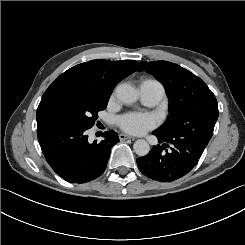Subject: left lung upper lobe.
Masks as SVG:
<instances>
[{
	"label": "left lung upper lobe",
	"mask_w": 245,
	"mask_h": 245,
	"mask_svg": "<svg viewBox=\"0 0 245 245\" xmlns=\"http://www.w3.org/2000/svg\"><path fill=\"white\" fill-rule=\"evenodd\" d=\"M142 67L164 85L169 99V116L157 129L159 132L192 130L203 120L215 124L219 114L217 100L199 77L167 61L142 62Z\"/></svg>",
	"instance_id": "obj_1"
}]
</instances>
